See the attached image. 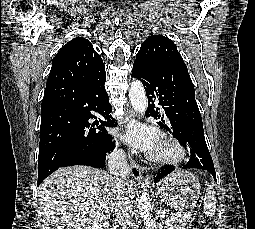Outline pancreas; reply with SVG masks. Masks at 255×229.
I'll list each match as a JSON object with an SVG mask.
<instances>
[{"instance_id": "obj_1", "label": "pancreas", "mask_w": 255, "mask_h": 229, "mask_svg": "<svg viewBox=\"0 0 255 229\" xmlns=\"http://www.w3.org/2000/svg\"><path fill=\"white\" fill-rule=\"evenodd\" d=\"M191 219L190 213L181 214L180 212L176 214H171L167 216L163 221L165 229H184L186 223Z\"/></svg>"}]
</instances>
